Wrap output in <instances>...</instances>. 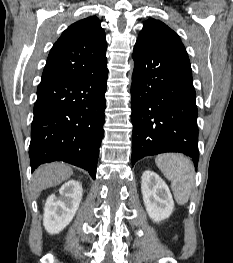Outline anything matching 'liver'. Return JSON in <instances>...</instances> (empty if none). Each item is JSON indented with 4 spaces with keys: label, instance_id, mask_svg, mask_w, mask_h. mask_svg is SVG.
I'll use <instances>...</instances> for the list:
<instances>
[{
    "label": "liver",
    "instance_id": "1",
    "mask_svg": "<svg viewBox=\"0 0 233 263\" xmlns=\"http://www.w3.org/2000/svg\"><path fill=\"white\" fill-rule=\"evenodd\" d=\"M72 174L71 167L63 163L42 165L33 174L32 188L36 193H40L46 188L56 186L68 180Z\"/></svg>",
    "mask_w": 233,
    "mask_h": 263
}]
</instances>
